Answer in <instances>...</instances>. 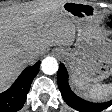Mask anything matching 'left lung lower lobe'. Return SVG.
Instances as JSON below:
<instances>
[{"instance_id": "0a47b994", "label": "left lung lower lobe", "mask_w": 112, "mask_h": 112, "mask_svg": "<svg viewBox=\"0 0 112 112\" xmlns=\"http://www.w3.org/2000/svg\"><path fill=\"white\" fill-rule=\"evenodd\" d=\"M108 25L112 28V22ZM57 82L64 101L80 112H100L112 105V100L104 103H91L75 95L69 86L68 73L63 64H60Z\"/></svg>"}]
</instances>
